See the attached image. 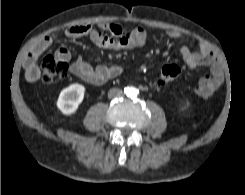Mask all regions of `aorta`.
I'll return each mask as SVG.
<instances>
[{
    "label": "aorta",
    "instance_id": "aorta-1",
    "mask_svg": "<svg viewBox=\"0 0 245 195\" xmlns=\"http://www.w3.org/2000/svg\"><path fill=\"white\" fill-rule=\"evenodd\" d=\"M136 94H137V89H135V88H129L127 90V95L128 96H135Z\"/></svg>",
    "mask_w": 245,
    "mask_h": 195
}]
</instances>
